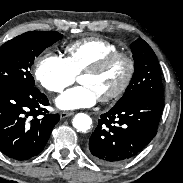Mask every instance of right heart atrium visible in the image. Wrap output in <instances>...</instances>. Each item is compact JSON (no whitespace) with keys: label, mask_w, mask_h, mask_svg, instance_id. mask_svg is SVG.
Wrapping results in <instances>:
<instances>
[{"label":"right heart atrium","mask_w":183,"mask_h":183,"mask_svg":"<svg viewBox=\"0 0 183 183\" xmlns=\"http://www.w3.org/2000/svg\"><path fill=\"white\" fill-rule=\"evenodd\" d=\"M35 78L46 91L61 93L74 83L76 75L62 56L46 52L37 60Z\"/></svg>","instance_id":"right-heart-atrium-1"}]
</instances>
